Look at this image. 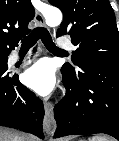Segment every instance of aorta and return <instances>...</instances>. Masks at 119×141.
Listing matches in <instances>:
<instances>
[{
  "instance_id": "1",
  "label": "aorta",
  "mask_w": 119,
  "mask_h": 141,
  "mask_svg": "<svg viewBox=\"0 0 119 141\" xmlns=\"http://www.w3.org/2000/svg\"><path fill=\"white\" fill-rule=\"evenodd\" d=\"M44 16L46 24L50 27H56L60 25L62 21V13L59 9L56 8H50Z\"/></svg>"
}]
</instances>
